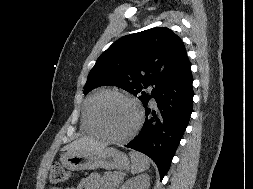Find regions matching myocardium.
<instances>
[{"mask_svg":"<svg viewBox=\"0 0 253 189\" xmlns=\"http://www.w3.org/2000/svg\"><path fill=\"white\" fill-rule=\"evenodd\" d=\"M110 97H115V98H119L122 99L126 102H128L129 104H131L137 113V120L136 123L134 125V127L132 128V130L127 133L124 136H114L112 134H110L106 128L104 127V125L102 124L100 118H99V114H98V107L100 105V103ZM91 118L92 121L95 125V127L99 130V132L101 133V135L111 141H115V142H126L128 140H130L131 138H133L138 131L140 130L142 124H143V119H144V113L143 110L141 108V106L139 105V103L133 99L132 97L123 94L121 92H117V91H107L104 92L102 94H100L93 102L92 106H91Z\"/></svg>","mask_w":253,"mask_h":189,"instance_id":"1","label":"myocardium"}]
</instances>
